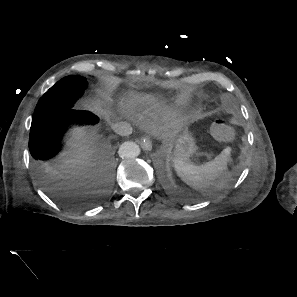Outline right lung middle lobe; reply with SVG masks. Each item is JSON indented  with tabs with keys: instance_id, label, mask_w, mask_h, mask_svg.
Listing matches in <instances>:
<instances>
[{
	"instance_id": "1",
	"label": "right lung middle lobe",
	"mask_w": 297,
	"mask_h": 297,
	"mask_svg": "<svg viewBox=\"0 0 297 297\" xmlns=\"http://www.w3.org/2000/svg\"><path fill=\"white\" fill-rule=\"evenodd\" d=\"M87 87L86 78L67 76L51 87L39 100L32 120L48 116L57 106L82 96Z\"/></svg>"
}]
</instances>
